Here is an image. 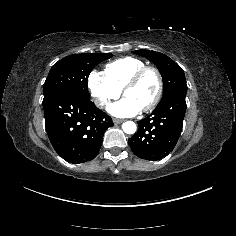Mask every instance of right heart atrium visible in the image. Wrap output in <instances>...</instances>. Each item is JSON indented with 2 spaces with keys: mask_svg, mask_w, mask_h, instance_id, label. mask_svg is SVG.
<instances>
[{
  "mask_svg": "<svg viewBox=\"0 0 236 236\" xmlns=\"http://www.w3.org/2000/svg\"><path fill=\"white\" fill-rule=\"evenodd\" d=\"M87 84L95 105L101 109L107 108L110 102L121 94L104 72L93 70L89 74Z\"/></svg>",
  "mask_w": 236,
  "mask_h": 236,
  "instance_id": "d8ad5b80",
  "label": "right heart atrium"
}]
</instances>
